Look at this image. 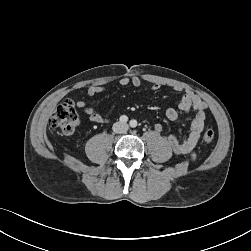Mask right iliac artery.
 Returning <instances> with one entry per match:
<instances>
[{"label": "right iliac artery", "mask_w": 251, "mask_h": 251, "mask_svg": "<svg viewBox=\"0 0 251 251\" xmlns=\"http://www.w3.org/2000/svg\"><path fill=\"white\" fill-rule=\"evenodd\" d=\"M119 120L122 122V123H126L128 121V117L126 115H122L120 116Z\"/></svg>", "instance_id": "right-iliac-artery-1"}]
</instances>
